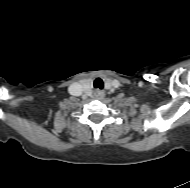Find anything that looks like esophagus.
<instances>
[{"mask_svg": "<svg viewBox=\"0 0 190 188\" xmlns=\"http://www.w3.org/2000/svg\"><path fill=\"white\" fill-rule=\"evenodd\" d=\"M95 97L97 99H102L105 97V92L104 91H101V90H97L95 91Z\"/></svg>", "mask_w": 190, "mask_h": 188, "instance_id": "1", "label": "esophagus"}]
</instances>
